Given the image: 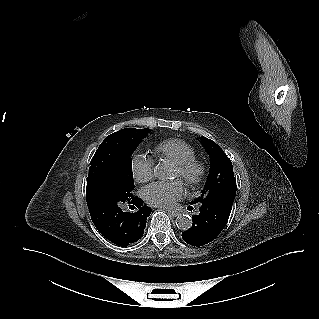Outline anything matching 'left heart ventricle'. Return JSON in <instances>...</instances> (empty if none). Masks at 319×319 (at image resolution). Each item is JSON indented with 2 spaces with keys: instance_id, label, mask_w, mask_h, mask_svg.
Listing matches in <instances>:
<instances>
[{
  "instance_id": "left-heart-ventricle-1",
  "label": "left heart ventricle",
  "mask_w": 319,
  "mask_h": 319,
  "mask_svg": "<svg viewBox=\"0 0 319 319\" xmlns=\"http://www.w3.org/2000/svg\"><path fill=\"white\" fill-rule=\"evenodd\" d=\"M173 178H181L179 170L174 167Z\"/></svg>"
}]
</instances>
